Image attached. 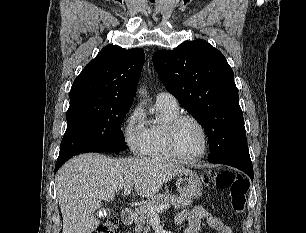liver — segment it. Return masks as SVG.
I'll use <instances>...</instances> for the list:
<instances>
[{
	"mask_svg": "<svg viewBox=\"0 0 306 233\" xmlns=\"http://www.w3.org/2000/svg\"><path fill=\"white\" fill-rule=\"evenodd\" d=\"M188 171L161 158L114 159L93 153L76 156L60 168L55 181L62 233H92L99 225L94 212L101 201L114 200L127 185H134L140 197H152L164 183Z\"/></svg>",
	"mask_w": 306,
	"mask_h": 233,
	"instance_id": "1",
	"label": "liver"
}]
</instances>
